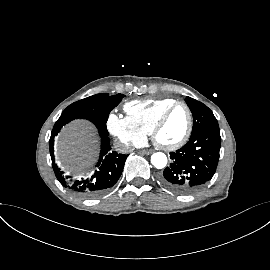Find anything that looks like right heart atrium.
Segmentation results:
<instances>
[{
  "label": "right heart atrium",
  "instance_id": "d8ad5b80",
  "mask_svg": "<svg viewBox=\"0 0 270 270\" xmlns=\"http://www.w3.org/2000/svg\"><path fill=\"white\" fill-rule=\"evenodd\" d=\"M107 127L112 135L128 146L140 145L146 138L128 116L111 113L107 119Z\"/></svg>",
  "mask_w": 270,
  "mask_h": 270
}]
</instances>
